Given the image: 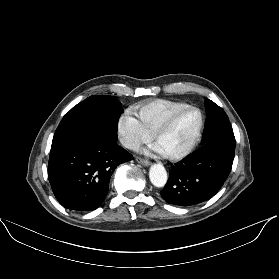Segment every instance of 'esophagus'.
Here are the masks:
<instances>
[{
	"label": "esophagus",
	"instance_id": "34e87169",
	"mask_svg": "<svg viewBox=\"0 0 279 279\" xmlns=\"http://www.w3.org/2000/svg\"><path fill=\"white\" fill-rule=\"evenodd\" d=\"M136 161L143 166H149L150 165V161H148L146 159H143L141 157H136Z\"/></svg>",
	"mask_w": 279,
	"mask_h": 279
}]
</instances>
